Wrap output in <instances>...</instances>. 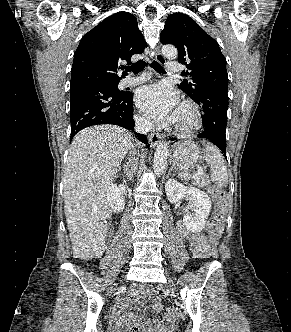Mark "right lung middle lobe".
I'll return each instance as SVG.
<instances>
[{"mask_svg":"<svg viewBox=\"0 0 291 332\" xmlns=\"http://www.w3.org/2000/svg\"><path fill=\"white\" fill-rule=\"evenodd\" d=\"M95 82H105V83H108V84H110V85L114 86L117 92H123V91H120V90L118 89V83H119V81H116V82H108V81H95ZM95 82H94V83H95Z\"/></svg>","mask_w":291,"mask_h":332,"instance_id":"dd1d6c3e","label":"right lung middle lobe"}]
</instances>
